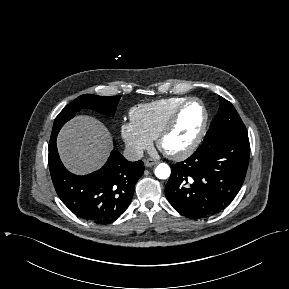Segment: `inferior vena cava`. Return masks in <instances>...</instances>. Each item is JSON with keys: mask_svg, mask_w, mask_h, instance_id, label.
I'll return each instance as SVG.
<instances>
[{"mask_svg": "<svg viewBox=\"0 0 289 289\" xmlns=\"http://www.w3.org/2000/svg\"><path fill=\"white\" fill-rule=\"evenodd\" d=\"M123 155L128 161H138L143 157V150L135 146H126Z\"/></svg>", "mask_w": 289, "mask_h": 289, "instance_id": "inferior-vena-cava-1", "label": "inferior vena cava"}]
</instances>
